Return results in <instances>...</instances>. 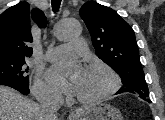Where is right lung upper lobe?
<instances>
[{"label":"right lung upper lobe","instance_id":"right-lung-upper-lobe-1","mask_svg":"<svg viewBox=\"0 0 165 120\" xmlns=\"http://www.w3.org/2000/svg\"><path fill=\"white\" fill-rule=\"evenodd\" d=\"M39 27H45L44 13L26 2L16 4L0 15V59L25 58L32 55L30 21Z\"/></svg>","mask_w":165,"mask_h":120}]
</instances>
